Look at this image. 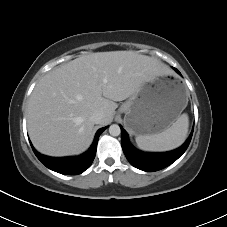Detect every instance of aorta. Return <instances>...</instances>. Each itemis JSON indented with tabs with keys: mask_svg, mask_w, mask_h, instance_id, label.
I'll use <instances>...</instances> for the list:
<instances>
[{
	"mask_svg": "<svg viewBox=\"0 0 227 227\" xmlns=\"http://www.w3.org/2000/svg\"><path fill=\"white\" fill-rule=\"evenodd\" d=\"M109 133L111 136H119L121 133V129L119 125L113 124L109 127Z\"/></svg>",
	"mask_w": 227,
	"mask_h": 227,
	"instance_id": "obj_1",
	"label": "aorta"
}]
</instances>
